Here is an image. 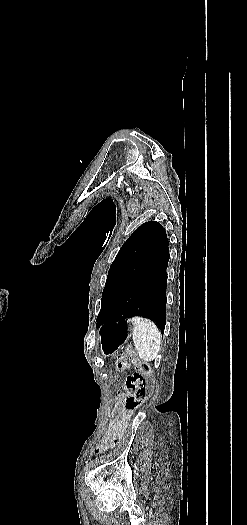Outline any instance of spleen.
<instances>
[{
  "instance_id": "3e777b00",
  "label": "spleen",
  "mask_w": 247,
  "mask_h": 525,
  "mask_svg": "<svg viewBox=\"0 0 247 525\" xmlns=\"http://www.w3.org/2000/svg\"><path fill=\"white\" fill-rule=\"evenodd\" d=\"M133 343L141 361L150 363L156 359L161 345V333L150 319L133 317Z\"/></svg>"
}]
</instances>
